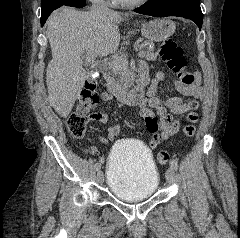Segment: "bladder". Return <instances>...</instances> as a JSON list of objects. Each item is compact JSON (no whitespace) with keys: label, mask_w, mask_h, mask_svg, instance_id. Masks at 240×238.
<instances>
[{"label":"bladder","mask_w":240,"mask_h":238,"mask_svg":"<svg viewBox=\"0 0 240 238\" xmlns=\"http://www.w3.org/2000/svg\"><path fill=\"white\" fill-rule=\"evenodd\" d=\"M159 179L152 153L145 146L125 140L112 149L107 163V185L118 199L136 202L150 198Z\"/></svg>","instance_id":"1"}]
</instances>
